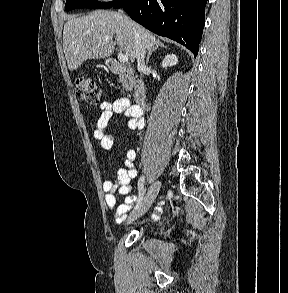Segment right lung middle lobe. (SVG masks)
<instances>
[{
  "label": "right lung middle lobe",
  "mask_w": 288,
  "mask_h": 293,
  "mask_svg": "<svg viewBox=\"0 0 288 293\" xmlns=\"http://www.w3.org/2000/svg\"><path fill=\"white\" fill-rule=\"evenodd\" d=\"M121 0H114L111 2H98L95 0H67L65 4V10L70 11L76 8H90V9H97V8H111Z\"/></svg>",
  "instance_id": "obj_1"
}]
</instances>
